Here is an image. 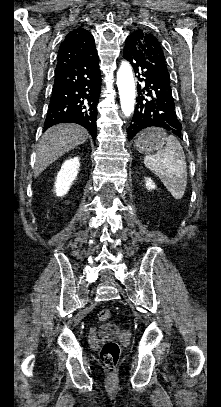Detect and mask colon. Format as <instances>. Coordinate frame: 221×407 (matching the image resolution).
Instances as JSON below:
<instances>
[{
	"label": "colon",
	"mask_w": 221,
	"mask_h": 407,
	"mask_svg": "<svg viewBox=\"0 0 221 407\" xmlns=\"http://www.w3.org/2000/svg\"><path fill=\"white\" fill-rule=\"evenodd\" d=\"M97 318L100 322L108 321L111 318V313L108 309H101ZM100 359L109 374H113L119 364L120 347L116 341H107L101 348Z\"/></svg>",
	"instance_id": "obj_1"
}]
</instances>
